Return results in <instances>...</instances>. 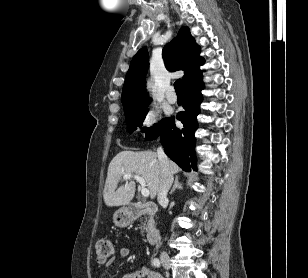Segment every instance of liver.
<instances>
[{
  "label": "liver",
  "mask_w": 308,
  "mask_h": 278,
  "mask_svg": "<svg viewBox=\"0 0 308 278\" xmlns=\"http://www.w3.org/2000/svg\"><path fill=\"white\" fill-rule=\"evenodd\" d=\"M172 174L179 172V166L169 161ZM126 173L139 175L144 178L150 191V198L158 195L161 180V168L158 156L153 151H121L110 162L103 191L104 202L107 206L127 205L135 195V182L130 180L117 188L118 182Z\"/></svg>",
  "instance_id": "1"
}]
</instances>
